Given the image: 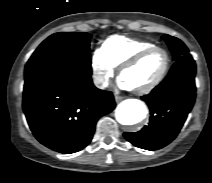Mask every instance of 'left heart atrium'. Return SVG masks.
I'll use <instances>...</instances> for the list:
<instances>
[{"mask_svg":"<svg viewBox=\"0 0 212 183\" xmlns=\"http://www.w3.org/2000/svg\"><path fill=\"white\" fill-rule=\"evenodd\" d=\"M118 85L122 89H130V87L125 83V81L121 77L119 78Z\"/></svg>","mask_w":212,"mask_h":183,"instance_id":"39dd6f15","label":"left heart atrium"}]
</instances>
